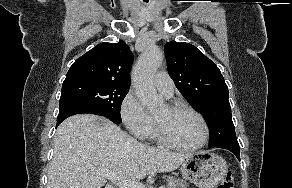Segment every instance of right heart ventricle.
<instances>
[{"instance_id": "e07e8e85", "label": "right heart ventricle", "mask_w": 292, "mask_h": 188, "mask_svg": "<svg viewBox=\"0 0 292 188\" xmlns=\"http://www.w3.org/2000/svg\"><path fill=\"white\" fill-rule=\"evenodd\" d=\"M150 136H151L152 138H156V133H155L154 129H153V131H152V133H151Z\"/></svg>"}]
</instances>
